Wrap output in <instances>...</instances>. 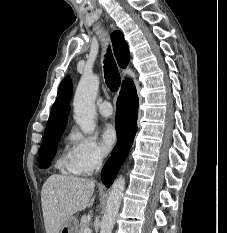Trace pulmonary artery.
<instances>
[{"label": "pulmonary artery", "instance_id": "pulmonary-artery-1", "mask_svg": "<svg viewBox=\"0 0 227 233\" xmlns=\"http://www.w3.org/2000/svg\"><path fill=\"white\" fill-rule=\"evenodd\" d=\"M99 112L103 117H110L113 113V108L110 102L104 101L99 105Z\"/></svg>", "mask_w": 227, "mask_h": 233}]
</instances>
